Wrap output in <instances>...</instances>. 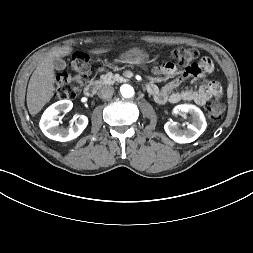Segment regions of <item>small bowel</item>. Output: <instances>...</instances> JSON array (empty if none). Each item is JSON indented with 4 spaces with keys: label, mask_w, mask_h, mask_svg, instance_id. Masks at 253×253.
Listing matches in <instances>:
<instances>
[{
    "label": "small bowel",
    "mask_w": 253,
    "mask_h": 253,
    "mask_svg": "<svg viewBox=\"0 0 253 253\" xmlns=\"http://www.w3.org/2000/svg\"><path fill=\"white\" fill-rule=\"evenodd\" d=\"M181 71L182 74L179 78H175L163 87H158L153 81L148 83L147 90L158 103L192 101L198 105H204L209 99L221 96L222 89L220 85L215 81L207 79H204L202 85L196 90H176L182 81L186 82L188 79H197L212 71L211 61L207 57L197 58L187 63L182 66ZM175 73L176 65L172 61L153 69V74L156 76H174Z\"/></svg>",
    "instance_id": "1"
}]
</instances>
